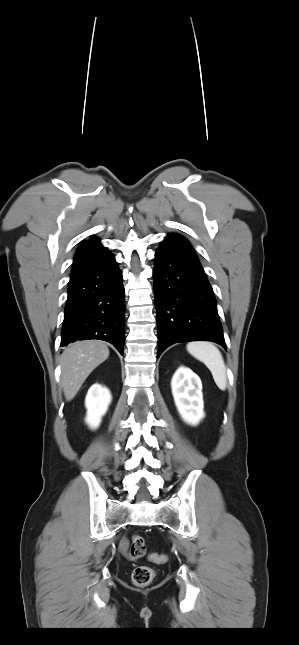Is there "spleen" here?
I'll list each match as a JSON object with an SVG mask.
<instances>
[{"mask_svg":"<svg viewBox=\"0 0 299 645\" xmlns=\"http://www.w3.org/2000/svg\"><path fill=\"white\" fill-rule=\"evenodd\" d=\"M188 352L203 362L211 371L217 387L224 391L227 387L226 366L219 349L211 342L197 341L187 344Z\"/></svg>","mask_w":299,"mask_h":645,"instance_id":"obj_1","label":"spleen"}]
</instances>
